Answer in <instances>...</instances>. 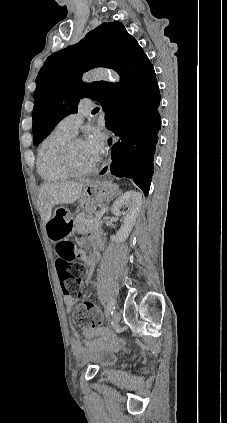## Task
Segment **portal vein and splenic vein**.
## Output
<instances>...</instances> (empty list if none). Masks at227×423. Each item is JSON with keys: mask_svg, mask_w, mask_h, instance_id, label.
<instances>
[{"mask_svg": "<svg viewBox=\"0 0 227 423\" xmlns=\"http://www.w3.org/2000/svg\"><path fill=\"white\" fill-rule=\"evenodd\" d=\"M104 211H106V210H103V209H100L99 210V216H97V219H100V217H104L105 216V213H104ZM86 221H91V223H92V221H94V219H86Z\"/></svg>", "mask_w": 227, "mask_h": 423, "instance_id": "18ae733b", "label": "portal vein and splenic vein"}]
</instances>
